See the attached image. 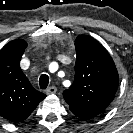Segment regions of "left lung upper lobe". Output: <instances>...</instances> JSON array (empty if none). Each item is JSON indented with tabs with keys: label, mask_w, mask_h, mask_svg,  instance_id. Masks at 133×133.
Masks as SVG:
<instances>
[{
	"label": "left lung upper lobe",
	"mask_w": 133,
	"mask_h": 133,
	"mask_svg": "<svg viewBox=\"0 0 133 133\" xmlns=\"http://www.w3.org/2000/svg\"><path fill=\"white\" fill-rule=\"evenodd\" d=\"M75 47L74 82L63 97L74 115L87 120L102 113L113 100L118 72L106 49L94 38L79 35Z\"/></svg>",
	"instance_id": "obj_1"
}]
</instances>
